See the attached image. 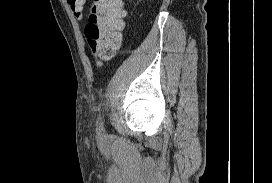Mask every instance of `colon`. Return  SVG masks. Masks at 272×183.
Instances as JSON below:
<instances>
[{
  "label": "colon",
  "instance_id": "5ec220e1",
  "mask_svg": "<svg viewBox=\"0 0 272 183\" xmlns=\"http://www.w3.org/2000/svg\"><path fill=\"white\" fill-rule=\"evenodd\" d=\"M86 0H68L78 15ZM123 0H91L85 36L91 51L100 60L110 59L121 43Z\"/></svg>",
  "mask_w": 272,
  "mask_h": 183
}]
</instances>
